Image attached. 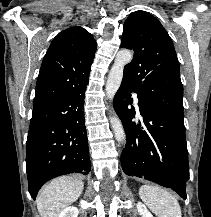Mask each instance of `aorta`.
I'll list each match as a JSON object with an SVG mask.
<instances>
[{
  "label": "aorta",
  "instance_id": "obj_1",
  "mask_svg": "<svg viewBox=\"0 0 211 217\" xmlns=\"http://www.w3.org/2000/svg\"><path fill=\"white\" fill-rule=\"evenodd\" d=\"M132 58L133 54L129 50L123 49L117 53L106 83V93L109 100H113L118 91L123 78L124 66L128 64ZM110 122L116 140L118 142H123L125 140V132L120 119L117 116H112Z\"/></svg>",
  "mask_w": 211,
  "mask_h": 217
}]
</instances>
